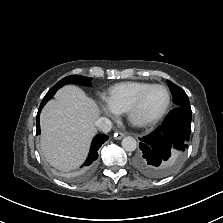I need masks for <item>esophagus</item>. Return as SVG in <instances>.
<instances>
[{
  "label": "esophagus",
  "instance_id": "1",
  "mask_svg": "<svg viewBox=\"0 0 223 223\" xmlns=\"http://www.w3.org/2000/svg\"><path fill=\"white\" fill-rule=\"evenodd\" d=\"M124 136H125V133H123V132H116V133L114 134V137H115L116 140H120V139H122Z\"/></svg>",
  "mask_w": 223,
  "mask_h": 223
}]
</instances>
